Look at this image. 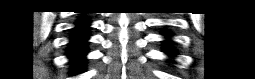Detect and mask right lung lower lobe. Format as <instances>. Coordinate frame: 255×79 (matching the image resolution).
Masks as SVG:
<instances>
[{"instance_id":"98d812e1","label":"right lung lower lobe","mask_w":255,"mask_h":79,"mask_svg":"<svg viewBox=\"0 0 255 79\" xmlns=\"http://www.w3.org/2000/svg\"><path fill=\"white\" fill-rule=\"evenodd\" d=\"M76 24L77 26L71 38L68 56L71 63L74 64L77 69H82V64L84 63L87 53L86 44L89 38L88 26L90 22L86 18H81Z\"/></svg>"}]
</instances>
